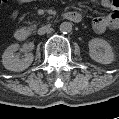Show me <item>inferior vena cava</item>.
<instances>
[{"mask_svg":"<svg viewBox=\"0 0 119 119\" xmlns=\"http://www.w3.org/2000/svg\"><path fill=\"white\" fill-rule=\"evenodd\" d=\"M51 30H52L51 25H45V26L38 29V34L43 35L46 32H50Z\"/></svg>","mask_w":119,"mask_h":119,"instance_id":"inferior-vena-cava-1","label":"inferior vena cava"}]
</instances>
